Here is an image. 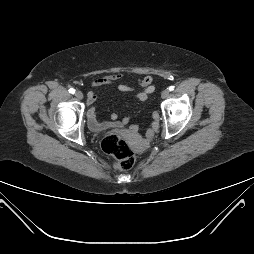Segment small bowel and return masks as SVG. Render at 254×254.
I'll list each match as a JSON object with an SVG mask.
<instances>
[{"label": "small bowel", "instance_id": "obj_1", "mask_svg": "<svg viewBox=\"0 0 254 254\" xmlns=\"http://www.w3.org/2000/svg\"><path fill=\"white\" fill-rule=\"evenodd\" d=\"M123 75L120 73L110 74L98 77L94 79L91 83L93 89H97L106 85L115 84L122 79ZM138 85L141 87V90L137 93L136 97L139 101H145L148 97V94L153 92V78L151 75H145L144 77L137 78ZM117 90L120 92H130L133 91V88L127 84H118ZM98 100L97 93L92 90L87 94V118L88 126L93 131H102L112 126L120 127L122 124L128 122V117H124L121 122H119L120 116L118 114L112 115L113 122H99L97 120V111L95 103ZM154 121L152 122L150 128L147 131V136H150L153 132L158 129V114L153 113Z\"/></svg>", "mask_w": 254, "mask_h": 254}]
</instances>
